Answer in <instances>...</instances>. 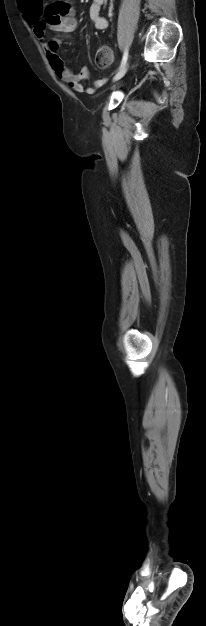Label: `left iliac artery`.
Wrapping results in <instances>:
<instances>
[{"label":"left iliac artery","mask_w":206,"mask_h":626,"mask_svg":"<svg viewBox=\"0 0 206 626\" xmlns=\"http://www.w3.org/2000/svg\"><path fill=\"white\" fill-rule=\"evenodd\" d=\"M127 59H128V50L125 49L119 69H121L125 65Z\"/></svg>","instance_id":"1"}]
</instances>
